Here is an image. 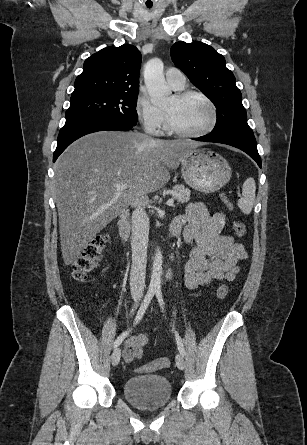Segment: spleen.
Segmentation results:
<instances>
[{"label": "spleen", "instance_id": "obj_1", "mask_svg": "<svg viewBox=\"0 0 307 445\" xmlns=\"http://www.w3.org/2000/svg\"><path fill=\"white\" fill-rule=\"evenodd\" d=\"M242 196L238 200V206L244 214H250L255 202L256 182L254 178H247L242 186Z\"/></svg>", "mask_w": 307, "mask_h": 445}]
</instances>
